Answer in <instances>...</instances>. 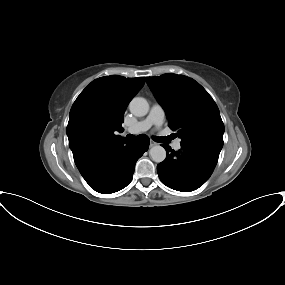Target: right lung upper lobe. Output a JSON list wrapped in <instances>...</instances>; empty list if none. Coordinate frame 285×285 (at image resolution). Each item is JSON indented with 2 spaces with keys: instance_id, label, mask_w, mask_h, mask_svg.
I'll list each match as a JSON object with an SVG mask.
<instances>
[{
  "instance_id": "1",
  "label": "right lung upper lobe",
  "mask_w": 285,
  "mask_h": 285,
  "mask_svg": "<svg viewBox=\"0 0 285 285\" xmlns=\"http://www.w3.org/2000/svg\"><path fill=\"white\" fill-rule=\"evenodd\" d=\"M145 77L104 76L92 81L77 97L66 129L74 160L87 152L123 139L124 112Z\"/></svg>"
}]
</instances>
